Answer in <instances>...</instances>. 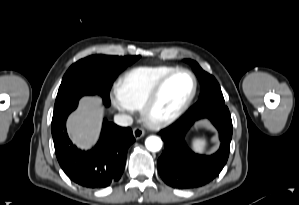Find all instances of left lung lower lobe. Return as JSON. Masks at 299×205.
<instances>
[{
	"instance_id": "1",
	"label": "left lung lower lobe",
	"mask_w": 299,
	"mask_h": 205,
	"mask_svg": "<svg viewBox=\"0 0 299 205\" xmlns=\"http://www.w3.org/2000/svg\"><path fill=\"white\" fill-rule=\"evenodd\" d=\"M207 118L219 131L221 145L210 156L192 152L185 143L187 130L195 121ZM232 120L226 105L199 111L189 109L178 121L161 131L164 151L158 159V171L163 181L178 189L197 188L219 175L229 156Z\"/></svg>"
}]
</instances>
